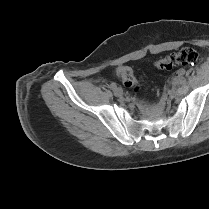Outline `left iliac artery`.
Wrapping results in <instances>:
<instances>
[{"label":"left iliac artery","instance_id":"44dca946","mask_svg":"<svg viewBox=\"0 0 209 209\" xmlns=\"http://www.w3.org/2000/svg\"><path fill=\"white\" fill-rule=\"evenodd\" d=\"M185 73V68H179V70L177 71V75L179 76H183Z\"/></svg>","mask_w":209,"mask_h":209}]
</instances>
